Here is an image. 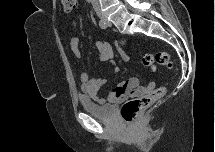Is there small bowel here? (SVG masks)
I'll return each mask as SVG.
<instances>
[{"label":"small bowel","instance_id":"1","mask_svg":"<svg viewBox=\"0 0 215 152\" xmlns=\"http://www.w3.org/2000/svg\"><path fill=\"white\" fill-rule=\"evenodd\" d=\"M97 49V57L100 62H107L114 66L115 72L118 68L115 65L113 59V51L111 46L107 42L97 41L95 43ZM70 48L77 58H80L81 53V39L77 36L72 37L70 40ZM124 59H128V55L123 53ZM82 92L97 101L100 104L115 103L126 97H137L144 95L152 91L156 87L155 82H151L148 85H141L140 80L137 77H131L116 85L114 90L109 92L107 97H100L98 95L99 90L106 84V77H98L91 79L87 73L82 72L79 75Z\"/></svg>","mask_w":215,"mask_h":152}]
</instances>
